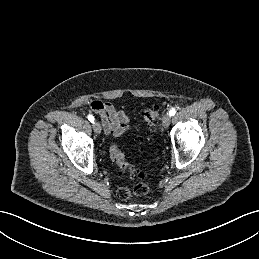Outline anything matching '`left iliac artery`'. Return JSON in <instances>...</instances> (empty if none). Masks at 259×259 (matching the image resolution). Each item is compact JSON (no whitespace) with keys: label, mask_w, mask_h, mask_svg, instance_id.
Masks as SVG:
<instances>
[{"label":"left iliac artery","mask_w":259,"mask_h":259,"mask_svg":"<svg viewBox=\"0 0 259 259\" xmlns=\"http://www.w3.org/2000/svg\"><path fill=\"white\" fill-rule=\"evenodd\" d=\"M176 113V109L175 108H171L170 111H169V115L170 116H174Z\"/></svg>","instance_id":"obj_1"}]
</instances>
